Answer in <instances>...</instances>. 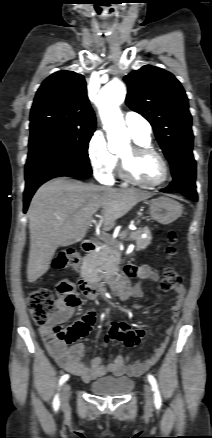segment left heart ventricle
I'll use <instances>...</instances> for the list:
<instances>
[{"label":"left heart ventricle","mask_w":212,"mask_h":438,"mask_svg":"<svg viewBox=\"0 0 212 438\" xmlns=\"http://www.w3.org/2000/svg\"><path fill=\"white\" fill-rule=\"evenodd\" d=\"M121 156L130 160V171L137 180L153 183L163 177V168L156 156H132L131 148L122 152Z\"/></svg>","instance_id":"left-heart-ventricle-1"}]
</instances>
